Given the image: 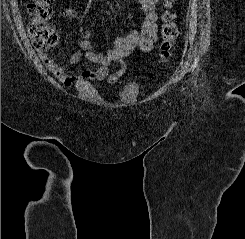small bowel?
<instances>
[{"label": "small bowel", "instance_id": "obj_1", "mask_svg": "<svg viewBox=\"0 0 245 239\" xmlns=\"http://www.w3.org/2000/svg\"><path fill=\"white\" fill-rule=\"evenodd\" d=\"M144 12V21L140 31H131L118 37L113 47L106 53H97L91 42L92 33L86 31L79 45L82 53H76L70 57V66L75 65L81 59L97 65L95 69H84L79 73L72 75L70 68L58 64L48 55L41 56L44 65L49 71L66 86H72L79 82L86 81H106L113 85L118 82L126 72V65L123 59L134 50L149 52L153 49L157 38V21L159 18L158 4L159 0H136ZM59 17L66 19H75L78 15L75 8L69 7L58 13ZM117 63L115 70L111 71V66Z\"/></svg>", "mask_w": 245, "mask_h": 239}]
</instances>
